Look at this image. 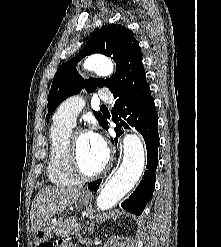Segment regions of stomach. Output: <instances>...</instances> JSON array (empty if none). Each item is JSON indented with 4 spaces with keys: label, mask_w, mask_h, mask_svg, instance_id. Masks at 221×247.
<instances>
[{
    "label": "stomach",
    "mask_w": 221,
    "mask_h": 247,
    "mask_svg": "<svg viewBox=\"0 0 221 247\" xmlns=\"http://www.w3.org/2000/svg\"><path fill=\"white\" fill-rule=\"evenodd\" d=\"M77 199L80 204H88L90 200L89 196L84 193H80ZM52 237L53 227L49 221L44 222L34 230V239L37 247L42 246V244L49 241Z\"/></svg>",
    "instance_id": "obj_1"
}]
</instances>
